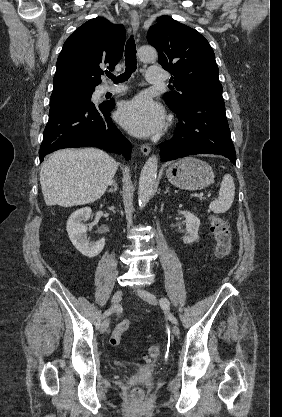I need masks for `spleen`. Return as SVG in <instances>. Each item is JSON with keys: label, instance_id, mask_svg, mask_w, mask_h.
<instances>
[{"label": "spleen", "instance_id": "spleen-1", "mask_svg": "<svg viewBox=\"0 0 282 417\" xmlns=\"http://www.w3.org/2000/svg\"><path fill=\"white\" fill-rule=\"evenodd\" d=\"M235 184L231 174H224L220 184L219 196L210 202L213 213H226L234 200Z\"/></svg>", "mask_w": 282, "mask_h": 417}]
</instances>
